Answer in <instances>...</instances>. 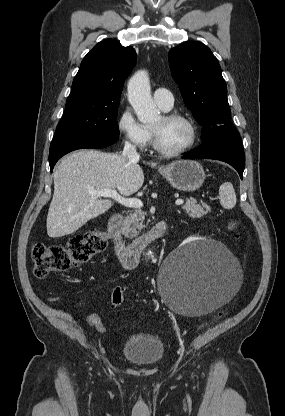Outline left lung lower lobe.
<instances>
[{"instance_id": "obj_1", "label": "left lung lower lobe", "mask_w": 285, "mask_h": 416, "mask_svg": "<svg viewBox=\"0 0 285 416\" xmlns=\"http://www.w3.org/2000/svg\"><path fill=\"white\" fill-rule=\"evenodd\" d=\"M183 159H215L233 166L241 179L244 171V151L239 134H229L206 141L203 145L185 153Z\"/></svg>"}]
</instances>
